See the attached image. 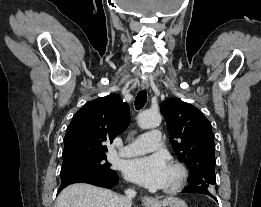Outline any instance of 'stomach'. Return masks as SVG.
<instances>
[{
	"label": "stomach",
	"mask_w": 261,
	"mask_h": 207,
	"mask_svg": "<svg viewBox=\"0 0 261 207\" xmlns=\"http://www.w3.org/2000/svg\"><path fill=\"white\" fill-rule=\"evenodd\" d=\"M148 207H187V204L179 198L167 197L162 200H155Z\"/></svg>",
	"instance_id": "stomach-1"
}]
</instances>
